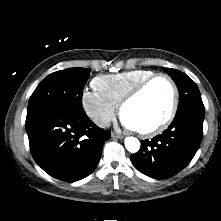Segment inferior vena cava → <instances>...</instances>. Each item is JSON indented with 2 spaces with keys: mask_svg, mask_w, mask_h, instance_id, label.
I'll return each instance as SVG.
<instances>
[{
  "mask_svg": "<svg viewBox=\"0 0 221 221\" xmlns=\"http://www.w3.org/2000/svg\"><path fill=\"white\" fill-rule=\"evenodd\" d=\"M96 123L99 127L105 128V127H110L111 120L107 117H100L99 119L96 120Z\"/></svg>",
  "mask_w": 221,
  "mask_h": 221,
  "instance_id": "inferior-vena-cava-1",
  "label": "inferior vena cava"
}]
</instances>
